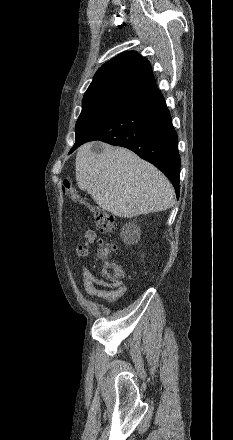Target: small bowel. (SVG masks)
<instances>
[{
    "label": "small bowel",
    "instance_id": "1",
    "mask_svg": "<svg viewBox=\"0 0 233 440\" xmlns=\"http://www.w3.org/2000/svg\"><path fill=\"white\" fill-rule=\"evenodd\" d=\"M83 243L77 245L75 251L79 257L88 256L91 245L96 240V233L93 230L84 232ZM82 281L85 291L98 298H102L110 303L118 301L127 291V287L119 282L111 285L107 280L99 279L85 266L81 267Z\"/></svg>",
    "mask_w": 233,
    "mask_h": 440
}]
</instances>
